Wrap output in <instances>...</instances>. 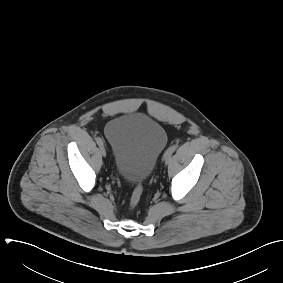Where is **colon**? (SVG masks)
<instances>
[{
	"label": "colon",
	"mask_w": 283,
	"mask_h": 283,
	"mask_svg": "<svg viewBox=\"0 0 283 283\" xmlns=\"http://www.w3.org/2000/svg\"><path fill=\"white\" fill-rule=\"evenodd\" d=\"M143 193V185L141 182H138L132 192L131 198H130V207L134 208L138 205L140 198Z\"/></svg>",
	"instance_id": "5ec220e1"
}]
</instances>
